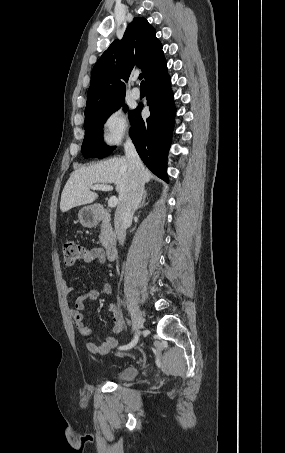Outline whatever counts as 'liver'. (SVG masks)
<instances>
[{"label":"liver","mask_w":285,"mask_h":453,"mask_svg":"<svg viewBox=\"0 0 285 453\" xmlns=\"http://www.w3.org/2000/svg\"><path fill=\"white\" fill-rule=\"evenodd\" d=\"M144 183L149 182L152 173L144 168ZM132 171L126 158L114 157L105 161L78 168L66 182L61 194L60 210L64 213L70 209L93 203L98 194L91 192L95 184L114 183L118 192L119 203L129 189Z\"/></svg>","instance_id":"liver-1"}]
</instances>
